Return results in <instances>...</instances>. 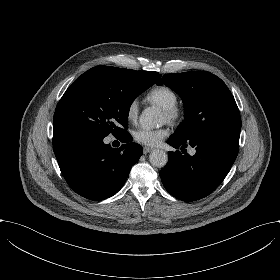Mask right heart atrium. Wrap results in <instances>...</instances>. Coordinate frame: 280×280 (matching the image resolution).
<instances>
[{
  "mask_svg": "<svg viewBox=\"0 0 280 280\" xmlns=\"http://www.w3.org/2000/svg\"><path fill=\"white\" fill-rule=\"evenodd\" d=\"M126 119L129 122H135L138 116V103L135 100H132L128 103L125 110Z\"/></svg>",
  "mask_w": 280,
  "mask_h": 280,
  "instance_id": "1",
  "label": "right heart atrium"
}]
</instances>
